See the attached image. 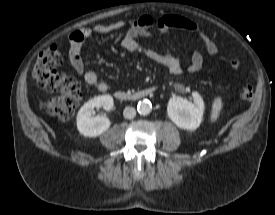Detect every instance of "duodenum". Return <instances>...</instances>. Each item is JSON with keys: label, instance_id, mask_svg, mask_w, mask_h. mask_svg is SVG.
<instances>
[{"label": "duodenum", "instance_id": "410a0bca", "mask_svg": "<svg viewBox=\"0 0 275 215\" xmlns=\"http://www.w3.org/2000/svg\"><path fill=\"white\" fill-rule=\"evenodd\" d=\"M158 90L157 86H151L144 89H140L134 92H126L123 90H117L114 93V96L117 100L123 101V102H129V101H137L139 99L146 98L152 94H154Z\"/></svg>", "mask_w": 275, "mask_h": 215}]
</instances>
